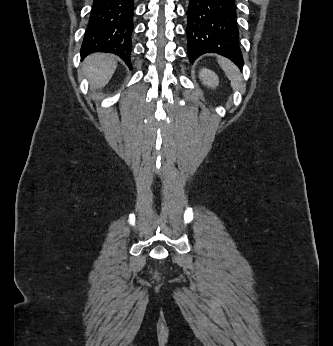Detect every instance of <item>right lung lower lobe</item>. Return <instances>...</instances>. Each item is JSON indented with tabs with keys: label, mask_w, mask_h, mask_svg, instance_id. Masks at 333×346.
Listing matches in <instances>:
<instances>
[{
	"label": "right lung lower lobe",
	"mask_w": 333,
	"mask_h": 346,
	"mask_svg": "<svg viewBox=\"0 0 333 346\" xmlns=\"http://www.w3.org/2000/svg\"><path fill=\"white\" fill-rule=\"evenodd\" d=\"M134 14V0H93L81 58L93 52L114 53L131 68Z\"/></svg>",
	"instance_id": "1"
}]
</instances>
